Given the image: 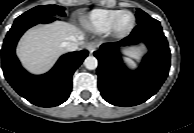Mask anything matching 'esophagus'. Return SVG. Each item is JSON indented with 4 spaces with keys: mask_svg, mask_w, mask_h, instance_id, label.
Returning <instances> with one entry per match:
<instances>
[{
    "mask_svg": "<svg viewBox=\"0 0 194 133\" xmlns=\"http://www.w3.org/2000/svg\"><path fill=\"white\" fill-rule=\"evenodd\" d=\"M97 47H98V45L95 42H89L87 44V49H88L90 54H92L97 49Z\"/></svg>",
    "mask_w": 194,
    "mask_h": 133,
    "instance_id": "34e87169",
    "label": "esophagus"
}]
</instances>
